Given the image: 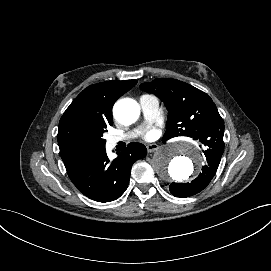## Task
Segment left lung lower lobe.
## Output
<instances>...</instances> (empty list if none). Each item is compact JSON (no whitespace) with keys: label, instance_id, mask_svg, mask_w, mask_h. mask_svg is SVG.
<instances>
[{"label":"left lung lower lobe","instance_id":"obj_1","mask_svg":"<svg viewBox=\"0 0 271 271\" xmlns=\"http://www.w3.org/2000/svg\"><path fill=\"white\" fill-rule=\"evenodd\" d=\"M224 149L217 146H206L203 151L207 164L202 167V173L190 183H172L170 192L180 198H185L202 191L213 179L219 166Z\"/></svg>","mask_w":271,"mask_h":271}]
</instances>
